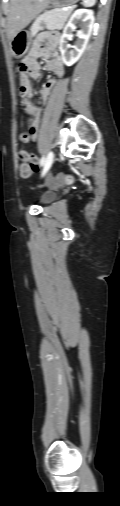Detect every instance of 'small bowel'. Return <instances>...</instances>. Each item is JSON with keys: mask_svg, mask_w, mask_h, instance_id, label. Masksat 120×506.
Returning <instances> with one entry per match:
<instances>
[{"mask_svg": "<svg viewBox=\"0 0 120 506\" xmlns=\"http://www.w3.org/2000/svg\"><path fill=\"white\" fill-rule=\"evenodd\" d=\"M58 42L59 36L56 34H42L35 39L27 58L24 60L27 64L28 70L26 73L20 74V86L25 91V96H31L34 92L31 79H37L41 75V67L38 62L40 57H45L47 59L45 68L48 71L53 72L58 77L63 76L64 65L57 51ZM56 84V79H48L42 85L40 90L42 102H47L49 95ZM24 109L31 117L29 128L32 138L35 140L38 136L41 108L29 101H26L24 103Z\"/></svg>", "mask_w": 120, "mask_h": 506, "instance_id": "small-bowel-1", "label": "small bowel"}]
</instances>
